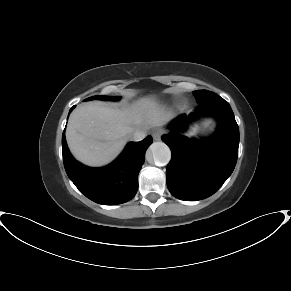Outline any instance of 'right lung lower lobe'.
I'll list each match as a JSON object with an SVG mask.
<instances>
[{
  "instance_id": "obj_1",
  "label": "right lung lower lobe",
  "mask_w": 291,
  "mask_h": 291,
  "mask_svg": "<svg viewBox=\"0 0 291 291\" xmlns=\"http://www.w3.org/2000/svg\"><path fill=\"white\" fill-rule=\"evenodd\" d=\"M151 144V136L140 142H130L110 165L90 168L73 158L63 132L64 167L70 180L90 200L103 205L125 203L137 192L138 174L145 160V152Z\"/></svg>"
}]
</instances>
